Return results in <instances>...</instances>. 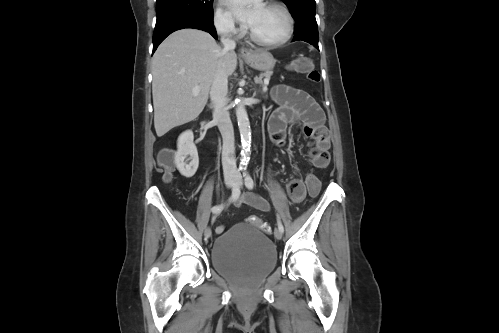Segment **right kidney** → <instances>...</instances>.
I'll return each instance as SVG.
<instances>
[{"label":"right kidney","instance_id":"right-kidney-1","mask_svg":"<svg viewBox=\"0 0 499 333\" xmlns=\"http://www.w3.org/2000/svg\"><path fill=\"white\" fill-rule=\"evenodd\" d=\"M193 140L194 135L191 130L183 132L178 138V150L175 153V165L186 178L192 177L199 166L198 152Z\"/></svg>","mask_w":499,"mask_h":333}]
</instances>
